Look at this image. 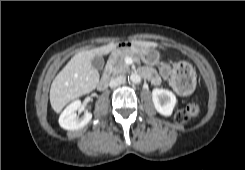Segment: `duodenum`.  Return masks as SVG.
Listing matches in <instances>:
<instances>
[{
    "label": "duodenum",
    "mask_w": 245,
    "mask_h": 170,
    "mask_svg": "<svg viewBox=\"0 0 245 170\" xmlns=\"http://www.w3.org/2000/svg\"><path fill=\"white\" fill-rule=\"evenodd\" d=\"M128 46H129V43L124 42V41L117 42L113 46L112 52L107 57L105 69H104V72H103L102 77H101L99 84H98V90L99 91H104L108 87L111 71L113 68V61H114V57H115L116 52L123 49V48H126Z\"/></svg>",
    "instance_id": "1"
}]
</instances>
